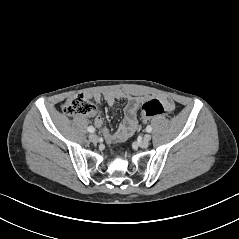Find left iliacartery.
I'll return each instance as SVG.
<instances>
[{"label": "left iliac artery", "mask_w": 239, "mask_h": 239, "mask_svg": "<svg viewBox=\"0 0 239 239\" xmlns=\"http://www.w3.org/2000/svg\"><path fill=\"white\" fill-rule=\"evenodd\" d=\"M146 131L150 133V132L152 131V127H151L150 125L147 126V127H146Z\"/></svg>", "instance_id": "left-iliac-artery-1"}]
</instances>
